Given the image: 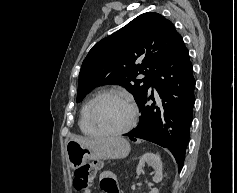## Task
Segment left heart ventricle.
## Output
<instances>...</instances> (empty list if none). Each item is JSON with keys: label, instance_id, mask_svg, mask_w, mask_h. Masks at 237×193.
<instances>
[{"label": "left heart ventricle", "instance_id": "left-heart-ventricle-1", "mask_svg": "<svg viewBox=\"0 0 237 193\" xmlns=\"http://www.w3.org/2000/svg\"><path fill=\"white\" fill-rule=\"evenodd\" d=\"M131 116L128 105L115 97L101 99L94 110V120L97 126L106 131H116L124 128Z\"/></svg>", "mask_w": 237, "mask_h": 193}]
</instances>
